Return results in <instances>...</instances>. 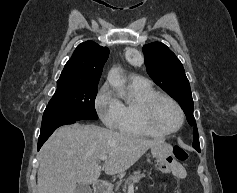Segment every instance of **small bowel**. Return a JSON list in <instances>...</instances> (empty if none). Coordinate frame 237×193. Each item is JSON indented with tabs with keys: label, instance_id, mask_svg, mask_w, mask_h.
<instances>
[{
	"label": "small bowel",
	"instance_id": "1",
	"mask_svg": "<svg viewBox=\"0 0 237 193\" xmlns=\"http://www.w3.org/2000/svg\"><path fill=\"white\" fill-rule=\"evenodd\" d=\"M172 173L177 179H180V180L185 179L186 175H187L186 170L180 164L174 165V167L172 169Z\"/></svg>",
	"mask_w": 237,
	"mask_h": 193
}]
</instances>
